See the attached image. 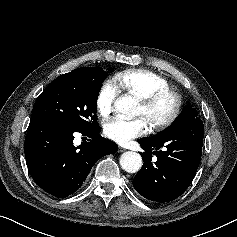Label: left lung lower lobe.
<instances>
[{
  "mask_svg": "<svg viewBox=\"0 0 237 237\" xmlns=\"http://www.w3.org/2000/svg\"><path fill=\"white\" fill-rule=\"evenodd\" d=\"M203 137V122L196 117L161 140L139 139L144 163L134 178L135 190L156 202H169L179 197L195 177L201 161ZM152 155L157 157L155 162Z\"/></svg>",
  "mask_w": 237,
  "mask_h": 237,
  "instance_id": "obj_1",
  "label": "left lung lower lobe"
}]
</instances>
